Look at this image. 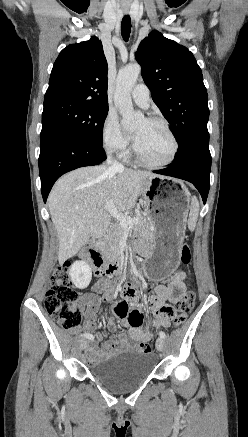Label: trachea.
<instances>
[{"label":"trachea","instance_id":"trachea-1","mask_svg":"<svg viewBox=\"0 0 248 437\" xmlns=\"http://www.w3.org/2000/svg\"><path fill=\"white\" fill-rule=\"evenodd\" d=\"M131 32V19L129 15H125L121 23V33L125 42L128 41Z\"/></svg>","mask_w":248,"mask_h":437}]
</instances>
